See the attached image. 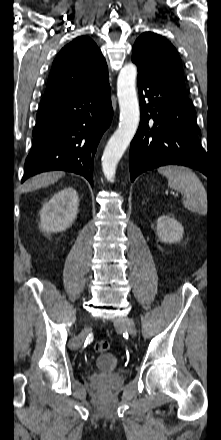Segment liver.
I'll use <instances>...</instances> for the list:
<instances>
[{
  "label": "liver",
  "instance_id": "1",
  "mask_svg": "<svg viewBox=\"0 0 221 440\" xmlns=\"http://www.w3.org/2000/svg\"><path fill=\"white\" fill-rule=\"evenodd\" d=\"M63 175V172L58 171L39 174L27 181L23 186V190L32 191L41 187H47L48 185L55 183Z\"/></svg>",
  "mask_w": 221,
  "mask_h": 440
}]
</instances>
